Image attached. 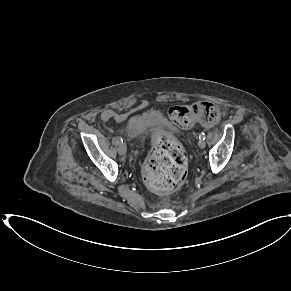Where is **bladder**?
Listing matches in <instances>:
<instances>
[{
	"instance_id": "31cf9c89",
	"label": "bladder",
	"mask_w": 291,
	"mask_h": 291,
	"mask_svg": "<svg viewBox=\"0 0 291 291\" xmlns=\"http://www.w3.org/2000/svg\"><path fill=\"white\" fill-rule=\"evenodd\" d=\"M151 125L145 116H134L125 123V133L128 136H145L150 131Z\"/></svg>"
}]
</instances>
